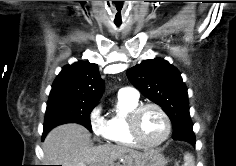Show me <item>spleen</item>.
<instances>
[{
    "instance_id": "spleen-1",
    "label": "spleen",
    "mask_w": 236,
    "mask_h": 166,
    "mask_svg": "<svg viewBox=\"0 0 236 166\" xmlns=\"http://www.w3.org/2000/svg\"><path fill=\"white\" fill-rule=\"evenodd\" d=\"M184 161H185V164L184 166H195V163H194V158L191 154L189 153H186L184 155Z\"/></svg>"
}]
</instances>
